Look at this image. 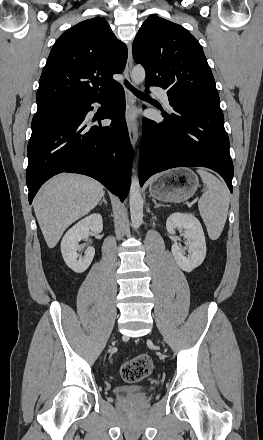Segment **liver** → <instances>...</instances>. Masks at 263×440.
I'll list each match as a JSON object with an SVG mask.
<instances>
[{
	"mask_svg": "<svg viewBox=\"0 0 263 440\" xmlns=\"http://www.w3.org/2000/svg\"><path fill=\"white\" fill-rule=\"evenodd\" d=\"M104 194L101 183L83 175L64 173L48 181L33 204L48 247H55L67 227L89 213Z\"/></svg>",
	"mask_w": 263,
	"mask_h": 440,
	"instance_id": "obj_1",
	"label": "liver"
}]
</instances>
